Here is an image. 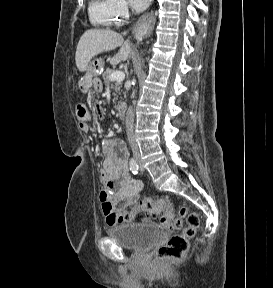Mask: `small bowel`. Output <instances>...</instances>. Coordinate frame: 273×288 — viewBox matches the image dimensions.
Returning a JSON list of instances; mask_svg holds the SVG:
<instances>
[{
	"label": "small bowel",
	"instance_id": "small-bowel-1",
	"mask_svg": "<svg viewBox=\"0 0 273 288\" xmlns=\"http://www.w3.org/2000/svg\"><path fill=\"white\" fill-rule=\"evenodd\" d=\"M98 117L102 111L95 110ZM80 129L91 130V115L85 109H78ZM104 155L100 177L104 188L100 192L102 210L109 226L133 222L143 212L137 206L132 207L143 190L141 181L134 180L129 174L128 153L124 143L119 139L107 138L102 143ZM130 209V210H129Z\"/></svg>",
	"mask_w": 273,
	"mask_h": 288
}]
</instances>
